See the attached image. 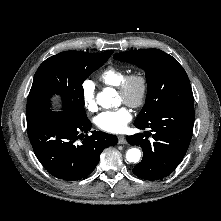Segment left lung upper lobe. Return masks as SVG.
I'll list each match as a JSON object with an SVG mask.
<instances>
[{
	"instance_id": "left-lung-upper-lobe-1",
	"label": "left lung upper lobe",
	"mask_w": 221,
	"mask_h": 221,
	"mask_svg": "<svg viewBox=\"0 0 221 221\" xmlns=\"http://www.w3.org/2000/svg\"><path fill=\"white\" fill-rule=\"evenodd\" d=\"M114 59L133 63L146 73L147 98L134 124L144 123L162 109L194 104L188 76L171 55L158 49H139L117 53Z\"/></svg>"
}]
</instances>
